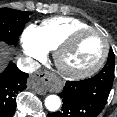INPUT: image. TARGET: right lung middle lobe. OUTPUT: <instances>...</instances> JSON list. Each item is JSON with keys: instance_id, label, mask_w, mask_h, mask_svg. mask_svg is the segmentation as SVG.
Returning <instances> with one entry per match:
<instances>
[{"instance_id": "dd1d6c3e", "label": "right lung middle lobe", "mask_w": 117, "mask_h": 117, "mask_svg": "<svg viewBox=\"0 0 117 117\" xmlns=\"http://www.w3.org/2000/svg\"><path fill=\"white\" fill-rule=\"evenodd\" d=\"M32 12L14 10L10 8L0 9V41L10 45H16L19 35L25 24L29 21Z\"/></svg>"}]
</instances>
